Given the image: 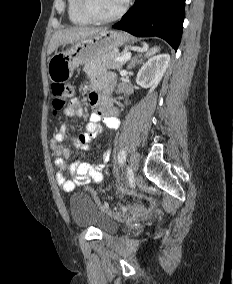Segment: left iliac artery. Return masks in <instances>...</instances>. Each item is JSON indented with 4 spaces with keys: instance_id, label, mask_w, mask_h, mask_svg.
<instances>
[{
    "instance_id": "1",
    "label": "left iliac artery",
    "mask_w": 233,
    "mask_h": 284,
    "mask_svg": "<svg viewBox=\"0 0 233 284\" xmlns=\"http://www.w3.org/2000/svg\"><path fill=\"white\" fill-rule=\"evenodd\" d=\"M125 160H126V151L122 149L118 154V162L120 164H124Z\"/></svg>"
}]
</instances>
